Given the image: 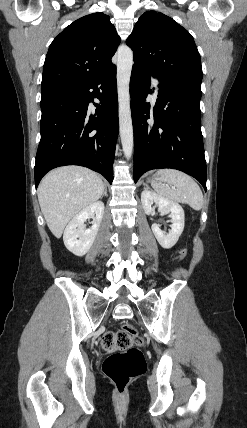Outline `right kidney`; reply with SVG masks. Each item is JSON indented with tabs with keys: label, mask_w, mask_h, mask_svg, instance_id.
I'll return each mask as SVG.
<instances>
[{
	"label": "right kidney",
	"mask_w": 247,
	"mask_h": 428,
	"mask_svg": "<svg viewBox=\"0 0 247 428\" xmlns=\"http://www.w3.org/2000/svg\"><path fill=\"white\" fill-rule=\"evenodd\" d=\"M104 214V203L96 201L79 212L67 225L63 241L66 248L76 256L85 255L91 248ZM92 218V227L84 228V222Z\"/></svg>",
	"instance_id": "1"
}]
</instances>
